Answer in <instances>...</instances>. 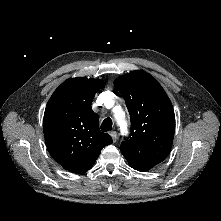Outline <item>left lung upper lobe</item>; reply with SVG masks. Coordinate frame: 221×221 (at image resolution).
Here are the masks:
<instances>
[{"instance_id":"left-lung-upper-lobe-1","label":"left lung upper lobe","mask_w":221,"mask_h":221,"mask_svg":"<svg viewBox=\"0 0 221 221\" xmlns=\"http://www.w3.org/2000/svg\"><path fill=\"white\" fill-rule=\"evenodd\" d=\"M114 85L125 99L132 124L120 150L132 168L148 171L172 147L175 115L171 101L158 81L141 70L120 76Z\"/></svg>"}]
</instances>
